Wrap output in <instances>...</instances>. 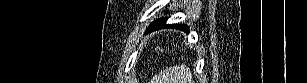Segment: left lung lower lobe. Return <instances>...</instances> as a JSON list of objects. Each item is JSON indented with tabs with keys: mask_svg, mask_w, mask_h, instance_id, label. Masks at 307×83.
Listing matches in <instances>:
<instances>
[{
	"mask_svg": "<svg viewBox=\"0 0 307 83\" xmlns=\"http://www.w3.org/2000/svg\"><path fill=\"white\" fill-rule=\"evenodd\" d=\"M176 28V29H180L182 31H185V32H189V28L187 25H184V24H171V25H168L166 24V20L162 19L160 21H158L157 23H152L149 28L147 29V32L148 31H153L155 29H159V28Z\"/></svg>",
	"mask_w": 307,
	"mask_h": 83,
	"instance_id": "left-lung-lower-lobe-1",
	"label": "left lung lower lobe"
}]
</instances>
